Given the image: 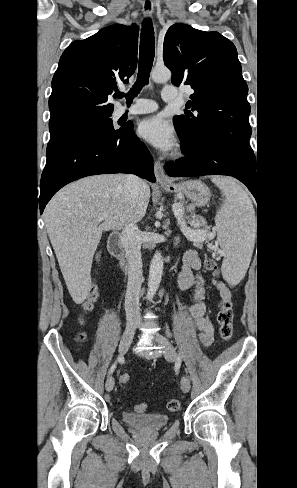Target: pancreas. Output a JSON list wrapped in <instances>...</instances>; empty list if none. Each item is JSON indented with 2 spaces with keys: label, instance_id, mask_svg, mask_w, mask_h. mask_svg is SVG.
Listing matches in <instances>:
<instances>
[{
  "label": "pancreas",
  "instance_id": "cf45deb5",
  "mask_svg": "<svg viewBox=\"0 0 297 488\" xmlns=\"http://www.w3.org/2000/svg\"><path fill=\"white\" fill-rule=\"evenodd\" d=\"M181 206H183L182 203H179ZM189 217L188 216H185L184 219H188ZM195 223H198L199 225H204L205 224V220L201 217H197L194 222H192V225H194Z\"/></svg>",
  "mask_w": 297,
  "mask_h": 488
}]
</instances>
